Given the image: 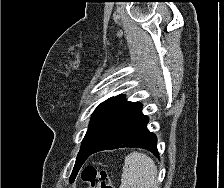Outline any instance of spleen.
Instances as JSON below:
<instances>
[{
	"mask_svg": "<svg viewBox=\"0 0 224 188\" xmlns=\"http://www.w3.org/2000/svg\"><path fill=\"white\" fill-rule=\"evenodd\" d=\"M157 167L146 154L132 152L125 158L120 188H159Z\"/></svg>",
	"mask_w": 224,
	"mask_h": 188,
	"instance_id": "spleen-1",
	"label": "spleen"
}]
</instances>
